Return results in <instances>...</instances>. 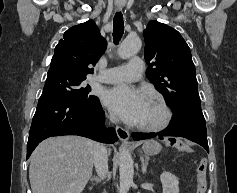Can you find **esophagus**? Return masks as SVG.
<instances>
[{"label": "esophagus", "instance_id": "obj_1", "mask_svg": "<svg viewBox=\"0 0 237 193\" xmlns=\"http://www.w3.org/2000/svg\"><path fill=\"white\" fill-rule=\"evenodd\" d=\"M118 10H121V7H118ZM115 129H116V133H117L119 139L122 142L128 143L129 136H130L129 132L126 129L120 127V126H116Z\"/></svg>", "mask_w": 237, "mask_h": 193}]
</instances>
